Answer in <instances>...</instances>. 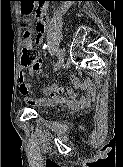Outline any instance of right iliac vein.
<instances>
[{
    "label": "right iliac vein",
    "mask_w": 123,
    "mask_h": 167,
    "mask_svg": "<svg viewBox=\"0 0 123 167\" xmlns=\"http://www.w3.org/2000/svg\"><path fill=\"white\" fill-rule=\"evenodd\" d=\"M64 61V51L62 52L61 56L58 59V62L56 64L55 70L57 71L63 64Z\"/></svg>",
    "instance_id": "obj_1"
}]
</instances>
